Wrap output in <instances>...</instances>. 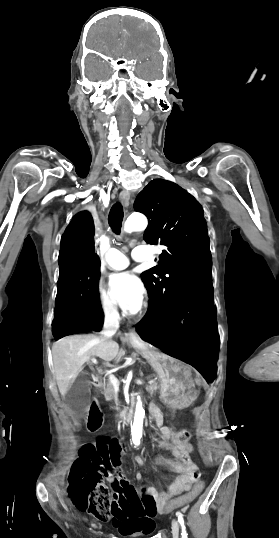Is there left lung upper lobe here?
I'll return each mask as SVG.
<instances>
[{"label": "left lung upper lobe", "mask_w": 279, "mask_h": 538, "mask_svg": "<svg viewBox=\"0 0 279 538\" xmlns=\"http://www.w3.org/2000/svg\"><path fill=\"white\" fill-rule=\"evenodd\" d=\"M134 209L149 225L144 240L166 246L158 266L141 274L150 298L143 319L155 321L185 293L212 282V257L200 204L178 185L151 181L137 196Z\"/></svg>", "instance_id": "obj_1"}]
</instances>
